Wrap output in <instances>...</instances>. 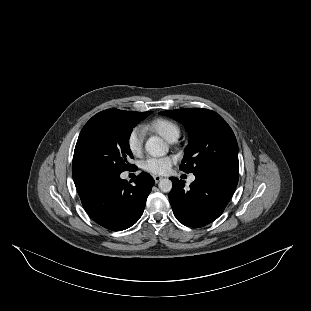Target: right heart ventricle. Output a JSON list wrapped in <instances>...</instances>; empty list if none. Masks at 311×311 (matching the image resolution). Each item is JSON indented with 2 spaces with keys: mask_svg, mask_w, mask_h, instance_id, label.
I'll return each instance as SVG.
<instances>
[{
  "mask_svg": "<svg viewBox=\"0 0 311 311\" xmlns=\"http://www.w3.org/2000/svg\"><path fill=\"white\" fill-rule=\"evenodd\" d=\"M149 128L165 140L174 142L181 136V126L169 118H158L149 124Z\"/></svg>",
  "mask_w": 311,
  "mask_h": 311,
  "instance_id": "1",
  "label": "right heart ventricle"
}]
</instances>
